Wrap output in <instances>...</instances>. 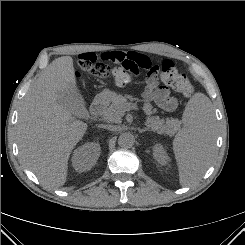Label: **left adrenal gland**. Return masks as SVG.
<instances>
[{"label": "left adrenal gland", "instance_id": "obj_1", "mask_svg": "<svg viewBox=\"0 0 245 245\" xmlns=\"http://www.w3.org/2000/svg\"><path fill=\"white\" fill-rule=\"evenodd\" d=\"M139 133H143L145 131H150L149 128L138 129Z\"/></svg>", "mask_w": 245, "mask_h": 245}]
</instances>
